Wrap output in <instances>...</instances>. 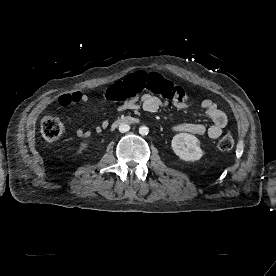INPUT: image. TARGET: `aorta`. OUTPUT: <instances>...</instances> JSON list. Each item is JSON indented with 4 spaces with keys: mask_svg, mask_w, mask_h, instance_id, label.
Returning <instances> with one entry per match:
<instances>
[{
    "mask_svg": "<svg viewBox=\"0 0 276 276\" xmlns=\"http://www.w3.org/2000/svg\"><path fill=\"white\" fill-rule=\"evenodd\" d=\"M139 133L144 136L147 135L149 133V128L147 126H141L139 128Z\"/></svg>",
    "mask_w": 276,
    "mask_h": 276,
    "instance_id": "1",
    "label": "aorta"
}]
</instances>
